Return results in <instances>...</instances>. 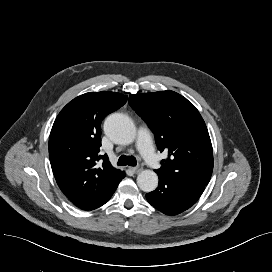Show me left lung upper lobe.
I'll use <instances>...</instances> for the list:
<instances>
[{
    "instance_id": "1",
    "label": "left lung upper lobe",
    "mask_w": 272,
    "mask_h": 272,
    "mask_svg": "<svg viewBox=\"0 0 272 272\" xmlns=\"http://www.w3.org/2000/svg\"><path fill=\"white\" fill-rule=\"evenodd\" d=\"M130 106L155 134L168 158L155 170L206 186L213 170V151L203 118L185 97L173 91L130 95Z\"/></svg>"
}]
</instances>
